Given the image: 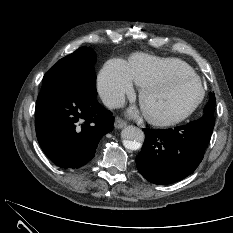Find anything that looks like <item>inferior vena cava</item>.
Masks as SVG:
<instances>
[{
	"label": "inferior vena cava",
	"instance_id": "1",
	"mask_svg": "<svg viewBox=\"0 0 233 233\" xmlns=\"http://www.w3.org/2000/svg\"><path fill=\"white\" fill-rule=\"evenodd\" d=\"M102 102L108 108H120L125 104V97L121 93L104 94L101 97Z\"/></svg>",
	"mask_w": 233,
	"mask_h": 233
}]
</instances>
